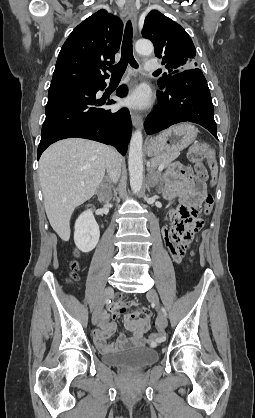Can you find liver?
I'll use <instances>...</instances> for the list:
<instances>
[{
	"label": "liver",
	"mask_w": 255,
	"mask_h": 418,
	"mask_svg": "<svg viewBox=\"0 0 255 418\" xmlns=\"http://www.w3.org/2000/svg\"><path fill=\"white\" fill-rule=\"evenodd\" d=\"M107 150L101 143L71 138L54 143L40 158L39 178L45 211L63 241L70 239L74 209L95 194L104 178Z\"/></svg>",
	"instance_id": "1"
}]
</instances>
